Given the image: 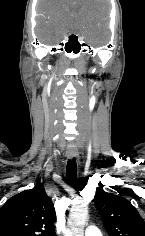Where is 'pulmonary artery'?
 <instances>
[{"mask_svg": "<svg viewBox=\"0 0 145 236\" xmlns=\"http://www.w3.org/2000/svg\"><path fill=\"white\" fill-rule=\"evenodd\" d=\"M85 236H102V233L96 226L91 225L86 228Z\"/></svg>", "mask_w": 145, "mask_h": 236, "instance_id": "e3ab8cb5", "label": "pulmonary artery"}]
</instances>
